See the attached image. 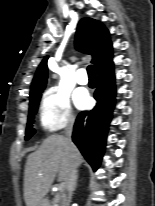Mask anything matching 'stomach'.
<instances>
[{
	"label": "stomach",
	"mask_w": 155,
	"mask_h": 206,
	"mask_svg": "<svg viewBox=\"0 0 155 206\" xmlns=\"http://www.w3.org/2000/svg\"><path fill=\"white\" fill-rule=\"evenodd\" d=\"M38 206H49L48 202L46 200H42Z\"/></svg>",
	"instance_id": "0dacf381"
}]
</instances>
